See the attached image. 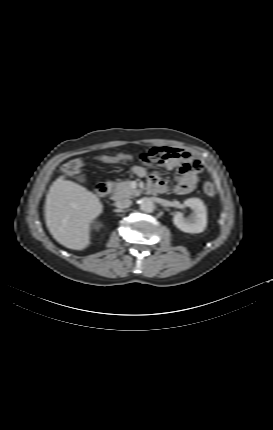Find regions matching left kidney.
<instances>
[{"instance_id":"left-kidney-1","label":"left kidney","mask_w":273,"mask_h":430,"mask_svg":"<svg viewBox=\"0 0 273 430\" xmlns=\"http://www.w3.org/2000/svg\"><path fill=\"white\" fill-rule=\"evenodd\" d=\"M194 214L184 218L183 213L177 212L173 217L174 225L186 233H201L207 226V211L204 202L199 198H189L184 202Z\"/></svg>"}]
</instances>
